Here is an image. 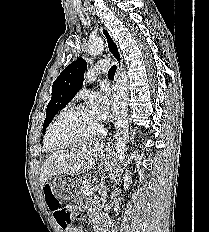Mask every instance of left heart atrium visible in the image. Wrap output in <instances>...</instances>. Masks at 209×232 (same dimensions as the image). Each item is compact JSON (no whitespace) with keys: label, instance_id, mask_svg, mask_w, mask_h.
Masks as SVG:
<instances>
[{"label":"left heart atrium","instance_id":"1","mask_svg":"<svg viewBox=\"0 0 209 232\" xmlns=\"http://www.w3.org/2000/svg\"><path fill=\"white\" fill-rule=\"evenodd\" d=\"M110 101L105 94H96L91 102V111L99 121L106 120L109 115Z\"/></svg>","mask_w":209,"mask_h":232}]
</instances>
